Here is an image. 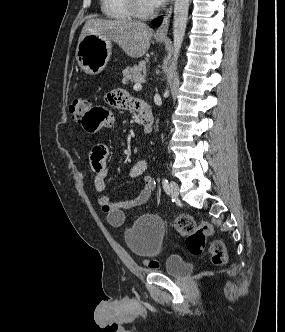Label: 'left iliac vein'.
<instances>
[{
    "instance_id": "obj_1",
    "label": "left iliac vein",
    "mask_w": 285,
    "mask_h": 332,
    "mask_svg": "<svg viewBox=\"0 0 285 332\" xmlns=\"http://www.w3.org/2000/svg\"><path fill=\"white\" fill-rule=\"evenodd\" d=\"M169 192L172 198L178 199L179 197V186L176 182L171 181L169 184Z\"/></svg>"
}]
</instances>
